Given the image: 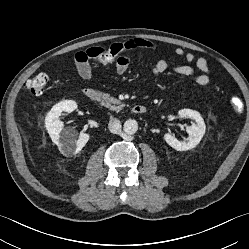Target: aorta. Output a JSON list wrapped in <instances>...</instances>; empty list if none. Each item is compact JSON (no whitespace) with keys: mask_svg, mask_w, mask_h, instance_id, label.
Segmentation results:
<instances>
[{"mask_svg":"<svg viewBox=\"0 0 249 249\" xmlns=\"http://www.w3.org/2000/svg\"><path fill=\"white\" fill-rule=\"evenodd\" d=\"M123 130L126 134L128 135H133L137 132L138 130V123L136 120L134 119H128L125 123H124V127Z\"/></svg>","mask_w":249,"mask_h":249,"instance_id":"aorta-1","label":"aorta"}]
</instances>
